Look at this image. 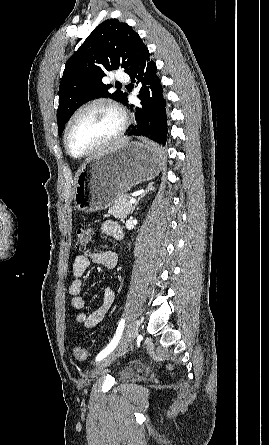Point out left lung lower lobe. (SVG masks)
Here are the masks:
<instances>
[{
    "mask_svg": "<svg viewBox=\"0 0 269 445\" xmlns=\"http://www.w3.org/2000/svg\"><path fill=\"white\" fill-rule=\"evenodd\" d=\"M156 73V64L150 59L147 48L138 63L127 73L132 82H141L142 85L138 95L142 101V107L132 105L136 124L132 126L128 135L145 136L156 143L165 145L168 133L167 103L161 80ZM124 100H128L127 94ZM154 147L159 149L155 144Z\"/></svg>",
    "mask_w": 269,
    "mask_h": 445,
    "instance_id": "left-lung-lower-lobe-1",
    "label": "left lung lower lobe"
}]
</instances>
